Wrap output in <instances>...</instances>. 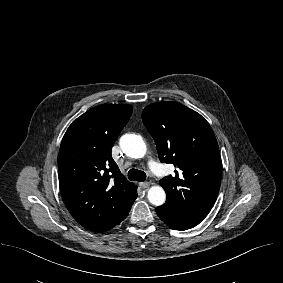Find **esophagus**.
<instances>
[{"mask_svg": "<svg viewBox=\"0 0 283 283\" xmlns=\"http://www.w3.org/2000/svg\"><path fill=\"white\" fill-rule=\"evenodd\" d=\"M139 185L142 189H147L150 186V184L148 182H142Z\"/></svg>", "mask_w": 283, "mask_h": 283, "instance_id": "esophagus-1", "label": "esophagus"}]
</instances>
